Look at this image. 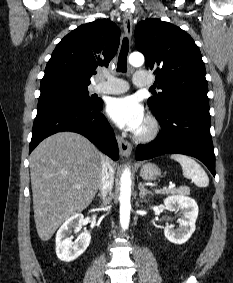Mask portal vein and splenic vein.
Here are the masks:
<instances>
[{
    "label": "portal vein and splenic vein",
    "instance_id": "1",
    "mask_svg": "<svg viewBox=\"0 0 233 283\" xmlns=\"http://www.w3.org/2000/svg\"><path fill=\"white\" fill-rule=\"evenodd\" d=\"M81 186L80 185H77L76 186V188H80ZM173 188H175V184H173V183H170V185L168 186V190H171V189H173ZM166 190V189H165ZM156 192H161V190H159V189H156L155 190Z\"/></svg>",
    "mask_w": 233,
    "mask_h": 283
}]
</instances>
